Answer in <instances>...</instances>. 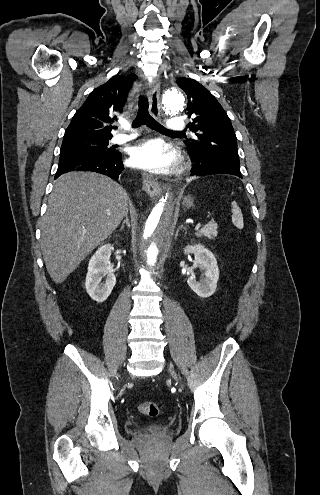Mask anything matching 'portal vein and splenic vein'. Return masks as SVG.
Masks as SVG:
<instances>
[{"instance_id": "portal-vein-and-splenic-vein-1", "label": "portal vein and splenic vein", "mask_w": 320, "mask_h": 495, "mask_svg": "<svg viewBox=\"0 0 320 495\" xmlns=\"http://www.w3.org/2000/svg\"><path fill=\"white\" fill-rule=\"evenodd\" d=\"M200 227H201V225H200V224H197V225L195 226V230H196V231H197V230H199V229H200Z\"/></svg>"}]
</instances>
